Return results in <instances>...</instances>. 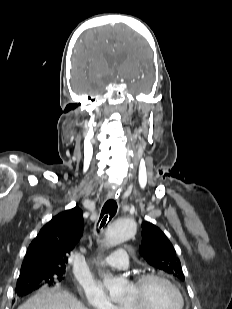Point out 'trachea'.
Returning <instances> with one entry per match:
<instances>
[{
    "label": "trachea",
    "instance_id": "trachea-1",
    "mask_svg": "<svg viewBox=\"0 0 232 309\" xmlns=\"http://www.w3.org/2000/svg\"><path fill=\"white\" fill-rule=\"evenodd\" d=\"M117 207V202L113 199H109L104 204L99 218V222H101L99 229L103 228L114 217L117 212Z\"/></svg>",
    "mask_w": 232,
    "mask_h": 309
}]
</instances>
